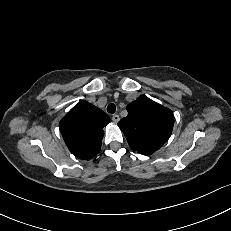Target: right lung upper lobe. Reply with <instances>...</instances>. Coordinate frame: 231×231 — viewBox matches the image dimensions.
<instances>
[{
	"mask_svg": "<svg viewBox=\"0 0 231 231\" xmlns=\"http://www.w3.org/2000/svg\"><path fill=\"white\" fill-rule=\"evenodd\" d=\"M109 122L110 118L101 109L80 101L62 118L59 128L70 152L87 160L99 153L103 127Z\"/></svg>",
	"mask_w": 231,
	"mask_h": 231,
	"instance_id": "right-lung-upper-lobe-1",
	"label": "right lung upper lobe"
}]
</instances>
